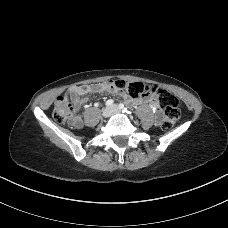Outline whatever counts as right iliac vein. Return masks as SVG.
<instances>
[{
	"mask_svg": "<svg viewBox=\"0 0 228 228\" xmlns=\"http://www.w3.org/2000/svg\"><path fill=\"white\" fill-rule=\"evenodd\" d=\"M112 108L111 107H106L103 112H102V116L104 118H109L112 115Z\"/></svg>",
	"mask_w": 228,
	"mask_h": 228,
	"instance_id": "right-iliac-vein-1",
	"label": "right iliac vein"
}]
</instances>
